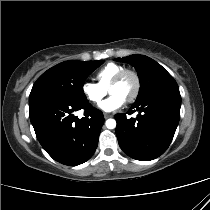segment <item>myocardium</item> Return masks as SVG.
<instances>
[{
	"mask_svg": "<svg viewBox=\"0 0 210 210\" xmlns=\"http://www.w3.org/2000/svg\"><path fill=\"white\" fill-rule=\"evenodd\" d=\"M127 76H132L135 80V90L132 93L131 96H129L125 101L126 103H133L137 100V98L139 97L140 91H141V87H142V82H141V78L139 76V74L134 71V70H130V69H124L121 72H119L114 79L112 80V82L110 83L108 90L118 84H120L125 77Z\"/></svg>",
	"mask_w": 210,
	"mask_h": 210,
	"instance_id": "1",
	"label": "myocardium"
}]
</instances>
